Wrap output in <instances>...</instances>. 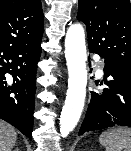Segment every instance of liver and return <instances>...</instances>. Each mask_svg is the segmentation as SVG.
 Returning a JSON list of instances; mask_svg holds the SVG:
<instances>
[{
    "label": "liver",
    "mask_w": 131,
    "mask_h": 151,
    "mask_svg": "<svg viewBox=\"0 0 131 151\" xmlns=\"http://www.w3.org/2000/svg\"><path fill=\"white\" fill-rule=\"evenodd\" d=\"M17 140L15 129L0 120V151H12Z\"/></svg>",
    "instance_id": "obj_1"
}]
</instances>
